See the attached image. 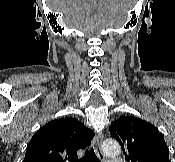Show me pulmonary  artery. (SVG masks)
<instances>
[{
  "label": "pulmonary artery",
  "instance_id": "e3ab8cb5",
  "mask_svg": "<svg viewBox=\"0 0 175 162\" xmlns=\"http://www.w3.org/2000/svg\"><path fill=\"white\" fill-rule=\"evenodd\" d=\"M108 162H125V161L122 158H115V159L108 160Z\"/></svg>",
  "mask_w": 175,
  "mask_h": 162
}]
</instances>
